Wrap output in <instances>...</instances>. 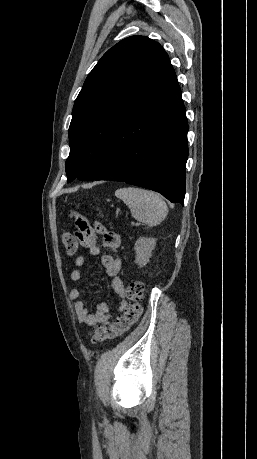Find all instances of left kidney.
Masks as SVG:
<instances>
[{
  "label": "left kidney",
  "instance_id": "obj_1",
  "mask_svg": "<svg viewBox=\"0 0 257 459\" xmlns=\"http://www.w3.org/2000/svg\"><path fill=\"white\" fill-rule=\"evenodd\" d=\"M156 239L155 238H144L140 237L135 243V263L139 267L145 266L151 257L152 250L155 248Z\"/></svg>",
  "mask_w": 257,
  "mask_h": 459
}]
</instances>
